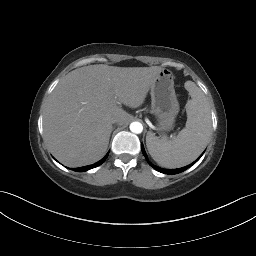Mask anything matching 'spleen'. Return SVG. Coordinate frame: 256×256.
Segmentation results:
<instances>
[{
    "label": "spleen",
    "instance_id": "spleen-1",
    "mask_svg": "<svg viewBox=\"0 0 256 256\" xmlns=\"http://www.w3.org/2000/svg\"><path fill=\"white\" fill-rule=\"evenodd\" d=\"M191 99L187 101L186 126L172 140L146 137L148 151L159 165L179 168L194 161L208 143L212 131L210 106L202 90L192 81L185 83Z\"/></svg>",
    "mask_w": 256,
    "mask_h": 256
}]
</instances>
